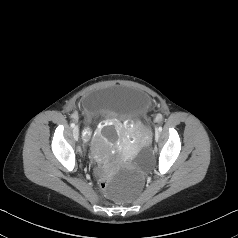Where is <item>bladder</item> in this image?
I'll return each mask as SVG.
<instances>
[{
    "mask_svg": "<svg viewBox=\"0 0 238 238\" xmlns=\"http://www.w3.org/2000/svg\"><path fill=\"white\" fill-rule=\"evenodd\" d=\"M84 106L85 112L92 115L93 121L104 116L139 120L147 115L150 99L141 92L118 86L102 89L87 97Z\"/></svg>",
    "mask_w": 238,
    "mask_h": 238,
    "instance_id": "bladder-1",
    "label": "bladder"
}]
</instances>
